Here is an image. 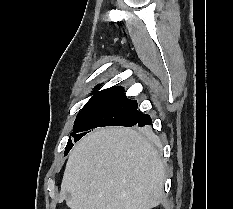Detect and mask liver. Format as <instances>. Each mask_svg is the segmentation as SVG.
<instances>
[{"instance_id": "6515ba94", "label": "liver", "mask_w": 233, "mask_h": 209, "mask_svg": "<svg viewBox=\"0 0 233 209\" xmlns=\"http://www.w3.org/2000/svg\"><path fill=\"white\" fill-rule=\"evenodd\" d=\"M164 181L163 162L148 139L131 128L107 127L70 152L58 202L70 209H152L164 197Z\"/></svg>"}]
</instances>
